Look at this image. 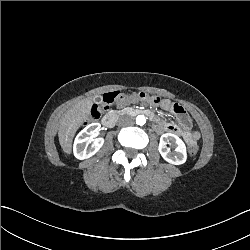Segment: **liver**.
<instances>
[{"instance_id":"obj_1","label":"liver","mask_w":250,"mask_h":250,"mask_svg":"<svg viewBox=\"0 0 250 250\" xmlns=\"http://www.w3.org/2000/svg\"><path fill=\"white\" fill-rule=\"evenodd\" d=\"M93 99L85 98L78 101L70 110L66 112L60 122L58 131L59 143L63 151L71 154L72 140L80 125L88 120Z\"/></svg>"}]
</instances>
